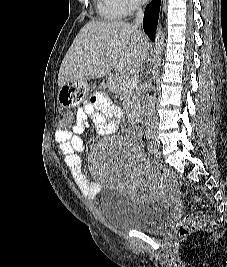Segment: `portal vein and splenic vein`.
I'll use <instances>...</instances> for the list:
<instances>
[{
    "instance_id": "18ae733b",
    "label": "portal vein and splenic vein",
    "mask_w": 227,
    "mask_h": 267,
    "mask_svg": "<svg viewBox=\"0 0 227 267\" xmlns=\"http://www.w3.org/2000/svg\"><path fill=\"white\" fill-rule=\"evenodd\" d=\"M136 80H137V76H131L130 78H129V81H131L132 83H135L136 82Z\"/></svg>"
}]
</instances>
